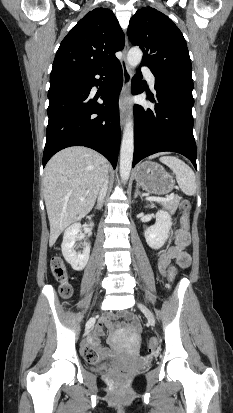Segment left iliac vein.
<instances>
[{
  "mask_svg": "<svg viewBox=\"0 0 233 413\" xmlns=\"http://www.w3.org/2000/svg\"><path fill=\"white\" fill-rule=\"evenodd\" d=\"M138 307L144 313V315L148 319L149 323L155 324V318H154L153 313L145 305H143L141 303L138 304Z\"/></svg>",
  "mask_w": 233,
  "mask_h": 413,
  "instance_id": "4c4485c4",
  "label": "left iliac vein"
}]
</instances>
